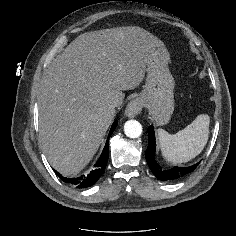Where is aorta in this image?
Returning a JSON list of instances; mask_svg holds the SVG:
<instances>
[{
  "label": "aorta",
  "instance_id": "aorta-1",
  "mask_svg": "<svg viewBox=\"0 0 236 236\" xmlns=\"http://www.w3.org/2000/svg\"><path fill=\"white\" fill-rule=\"evenodd\" d=\"M124 132L129 138H137L142 134V126L136 120H129L124 124Z\"/></svg>",
  "mask_w": 236,
  "mask_h": 236
}]
</instances>
